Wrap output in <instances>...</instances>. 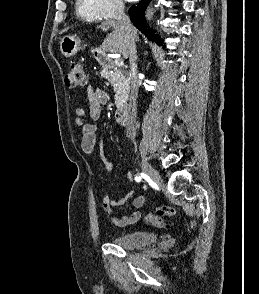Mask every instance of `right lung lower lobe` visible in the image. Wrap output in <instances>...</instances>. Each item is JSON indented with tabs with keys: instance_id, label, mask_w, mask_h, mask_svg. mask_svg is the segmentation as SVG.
<instances>
[{
	"instance_id": "1",
	"label": "right lung lower lobe",
	"mask_w": 259,
	"mask_h": 294,
	"mask_svg": "<svg viewBox=\"0 0 259 294\" xmlns=\"http://www.w3.org/2000/svg\"><path fill=\"white\" fill-rule=\"evenodd\" d=\"M151 0H143L137 5H133L129 9L130 19L133 24L151 41H158L153 29H149V26L145 22V9ZM162 45V43H161Z\"/></svg>"
}]
</instances>
